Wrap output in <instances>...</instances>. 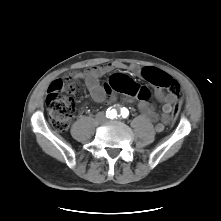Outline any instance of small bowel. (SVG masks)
I'll return each instance as SVG.
<instances>
[{"label": "small bowel", "instance_id": "1", "mask_svg": "<svg viewBox=\"0 0 221 221\" xmlns=\"http://www.w3.org/2000/svg\"><path fill=\"white\" fill-rule=\"evenodd\" d=\"M126 68H129L131 71L136 72L143 77L142 69H139L136 66L127 67L121 62L108 63L83 72H74L71 74V77L74 80H83L85 82L87 89L95 102H103L106 99L107 94L112 91L121 92L125 101L132 102L136 99V97L130 96L125 91V88L129 84L134 83V81L128 75L116 73L109 78L106 85L101 84V78L104 75L109 74L114 70H123ZM157 70L162 71L160 69ZM155 97L159 102L162 103V112L160 115L156 113L154 106L147 100L137 98V106L140 112L148 120L152 122L160 121V123L156 125V131L161 132L164 129V126L170 123L173 119L171 113L174 105L179 103L181 106L182 100L180 97L178 98L171 93H165L163 88L159 86L155 87Z\"/></svg>", "mask_w": 221, "mask_h": 221}]
</instances>
